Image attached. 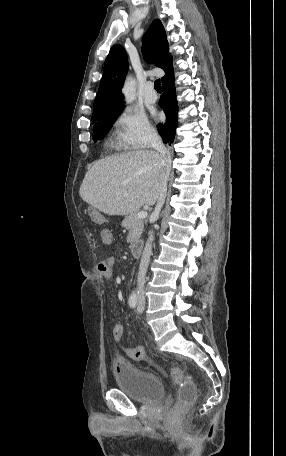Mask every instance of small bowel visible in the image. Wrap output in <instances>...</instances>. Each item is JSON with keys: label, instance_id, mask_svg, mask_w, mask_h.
I'll list each match as a JSON object with an SVG mask.
<instances>
[{"label": "small bowel", "instance_id": "small-bowel-1", "mask_svg": "<svg viewBox=\"0 0 286 456\" xmlns=\"http://www.w3.org/2000/svg\"><path fill=\"white\" fill-rule=\"evenodd\" d=\"M102 241L106 244H110L112 242V236L109 230L105 229L101 232ZM116 264V259L114 257H109L107 259L102 260L97 265V272L107 280L112 278L113 269ZM124 334V328L122 324L117 323L114 325L112 329V336L113 339L118 342L122 339Z\"/></svg>", "mask_w": 286, "mask_h": 456}]
</instances>
